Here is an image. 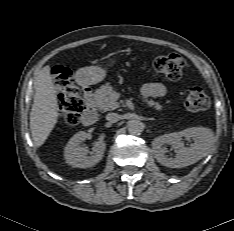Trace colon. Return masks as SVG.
<instances>
[{"instance_id": "obj_1", "label": "colon", "mask_w": 234, "mask_h": 231, "mask_svg": "<svg viewBox=\"0 0 234 231\" xmlns=\"http://www.w3.org/2000/svg\"><path fill=\"white\" fill-rule=\"evenodd\" d=\"M154 66L169 80L177 81L182 77L185 60L181 55L171 53L158 58ZM52 75L59 95V116L65 125L77 126L82 119L84 104L78 89L72 83L70 71L58 65L52 68ZM185 106L190 112H201L208 108L209 98L202 88L193 87L186 97Z\"/></svg>"}]
</instances>
